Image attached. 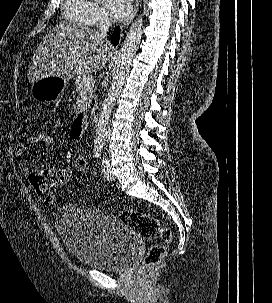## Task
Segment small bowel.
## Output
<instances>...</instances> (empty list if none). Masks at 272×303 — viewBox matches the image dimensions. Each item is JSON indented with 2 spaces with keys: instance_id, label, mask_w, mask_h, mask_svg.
I'll return each mask as SVG.
<instances>
[{
  "instance_id": "small-bowel-1",
  "label": "small bowel",
  "mask_w": 272,
  "mask_h": 303,
  "mask_svg": "<svg viewBox=\"0 0 272 303\" xmlns=\"http://www.w3.org/2000/svg\"><path fill=\"white\" fill-rule=\"evenodd\" d=\"M71 139L74 141L79 140L75 133L71 131ZM29 146H38L37 135H30L24 142H19L15 146V155L18 158L23 157L28 150ZM55 150L49 151L55 153ZM22 172L28 177L30 184L36 193L47 192L50 188L65 185L71 177V172L66 167H54L39 171H32L27 165L20 164Z\"/></svg>"
}]
</instances>
